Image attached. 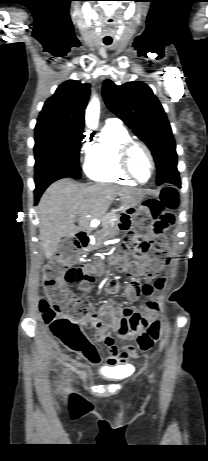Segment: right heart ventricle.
Instances as JSON below:
<instances>
[{"mask_svg": "<svg viewBox=\"0 0 208 461\" xmlns=\"http://www.w3.org/2000/svg\"><path fill=\"white\" fill-rule=\"evenodd\" d=\"M131 139L122 125H106L99 139L87 150L84 171L86 175L98 182H116L134 184L119 164L121 146Z\"/></svg>", "mask_w": 208, "mask_h": 461, "instance_id": "obj_1", "label": "right heart ventricle"}]
</instances>
